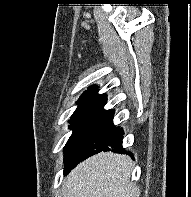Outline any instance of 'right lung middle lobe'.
<instances>
[{
  "label": "right lung middle lobe",
  "mask_w": 191,
  "mask_h": 197,
  "mask_svg": "<svg viewBox=\"0 0 191 197\" xmlns=\"http://www.w3.org/2000/svg\"><path fill=\"white\" fill-rule=\"evenodd\" d=\"M90 113H91V110H79V111H75L74 114L71 116L69 120V123H70L69 128L73 130V133L64 147V153H65L64 162L65 163L71 156V149L77 139L78 133L81 127L83 126L84 121L86 120V118L89 116Z\"/></svg>",
  "instance_id": "right-lung-middle-lobe-1"
}]
</instances>
